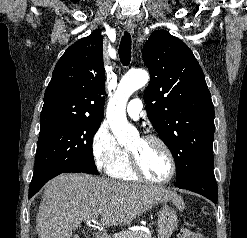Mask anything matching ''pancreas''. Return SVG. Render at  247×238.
I'll list each match as a JSON object with an SVG mask.
<instances>
[{
	"label": "pancreas",
	"instance_id": "obj_1",
	"mask_svg": "<svg viewBox=\"0 0 247 238\" xmlns=\"http://www.w3.org/2000/svg\"><path fill=\"white\" fill-rule=\"evenodd\" d=\"M103 238H111L109 236H104ZM113 238H151V235L144 231H127L121 232Z\"/></svg>",
	"mask_w": 247,
	"mask_h": 238
}]
</instances>
